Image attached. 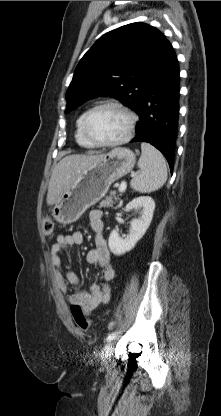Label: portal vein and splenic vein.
Instances as JSON below:
<instances>
[{"instance_id":"obj_1","label":"portal vein and splenic vein","mask_w":221,"mask_h":416,"mask_svg":"<svg viewBox=\"0 0 221 416\" xmlns=\"http://www.w3.org/2000/svg\"><path fill=\"white\" fill-rule=\"evenodd\" d=\"M126 190V183L122 182L120 187H119V192L123 193Z\"/></svg>"}]
</instances>
